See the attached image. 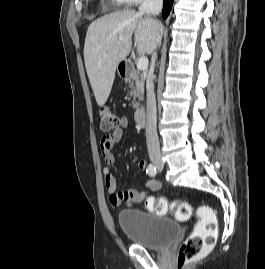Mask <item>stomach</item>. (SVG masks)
<instances>
[{
	"instance_id": "obj_1",
	"label": "stomach",
	"mask_w": 265,
	"mask_h": 269,
	"mask_svg": "<svg viewBox=\"0 0 265 269\" xmlns=\"http://www.w3.org/2000/svg\"><path fill=\"white\" fill-rule=\"evenodd\" d=\"M123 62H124V61H123ZM123 62H120V63L118 64L117 69H118V67H119ZM125 64H127V63H125ZM118 72L120 73L119 70H118Z\"/></svg>"
}]
</instances>
